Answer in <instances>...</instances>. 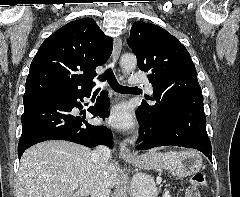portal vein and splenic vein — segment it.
I'll return each instance as SVG.
<instances>
[{
  "mask_svg": "<svg viewBox=\"0 0 240 197\" xmlns=\"http://www.w3.org/2000/svg\"><path fill=\"white\" fill-rule=\"evenodd\" d=\"M70 187H71L72 189H77V188H78V184H76V183H71V184H70Z\"/></svg>",
  "mask_w": 240,
  "mask_h": 197,
  "instance_id": "18ae733b",
  "label": "portal vein and splenic vein"
}]
</instances>
